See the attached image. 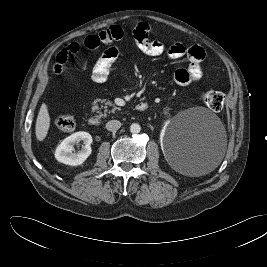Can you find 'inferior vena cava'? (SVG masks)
<instances>
[{
	"label": "inferior vena cava",
	"mask_w": 267,
	"mask_h": 267,
	"mask_svg": "<svg viewBox=\"0 0 267 267\" xmlns=\"http://www.w3.org/2000/svg\"><path fill=\"white\" fill-rule=\"evenodd\" d=\"M121 127V122L118 120H111L106 123V129L111 132L117 131Z\"/></svg>",
	"instance_id": "1"
}]
</instances>
